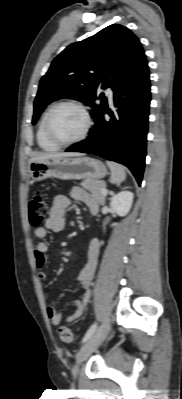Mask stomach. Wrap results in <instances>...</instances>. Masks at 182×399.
Instances as JSON below:
<instances>
[{"label": "stomach", "mask_w": 182, "mask_h": 399, "mask_svg": "<svg viewBox=\"0 0 182 399\" xmlns=\"http://www.w3.org/2000/svg\"><path fill=\"white\" fill-rule=\"evenodd\" d=\"M107 173L105 165L94 158H49L33 161L30 165L29 176L33 182L46 178L62 180L72 179H100Z\"/></svg>", "instance_id": "obj_1"}]
</instances>
